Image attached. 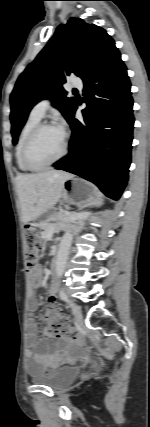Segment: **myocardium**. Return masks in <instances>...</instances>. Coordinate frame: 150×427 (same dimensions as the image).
Returning a JSON list of instances; mask_svg holds the SVG:
<instances>
[{
    "mask_svg": "<svg viewBox=\"0 0 150 427\" xmlns=\"http://www.w3.org/2000/svg\"><path fill=\"white\" fill-rule=\"evenodd\" d=\"M47 128H60V126H58L55 123H51V122H42V123H38L37 125H35L31 131L28 133L27 137L25 138V141L23 143V147H22V160L24 165L27 167V169L31 170V171H40V170H44L52 165H54L55 163L59 162L60 160H62L68 153V149H69V139H68V135L66 133H64V145H63V149L61 151V153L52 161L43 164V165H39V166H35L33 164H31V162L29 161L28 158V151H29V147L34 139V137L43 129H47Z\"/></svg>",
    "mask_w": 150,
    "mask_h": 427,
    "instance_id": "1",
    "label": "myocardium"
}]
</instances>
